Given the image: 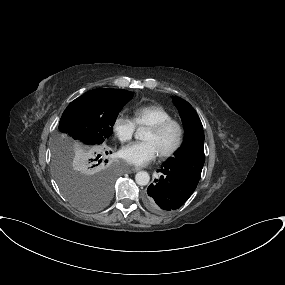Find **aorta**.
<instances>
[{
    "label": "aorta",
    "mask_w": 285,
    "mask_h": 285,
    "mask_svg": "<svg viewBox=\"0 0 285 285\" xmlns=\"http://www.w3.org/2000/svg\"><path fill=\"white\" fill-rule=\"evenodd\" d=\"M135 137L139 140L144 138V129L142 127L136 130ZM135 181L138 185L145 186L149 183L150 176L146 171H139L135 175Z\"/></svg>",
    "instance_id": "aorta-1"
}]
</instances>
